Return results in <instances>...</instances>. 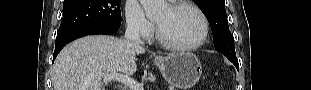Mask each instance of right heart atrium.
Returning <instances> with one entry per match:
<instances>
[{
	"mask_svg": "<svg viewBox=\"0 0 311 90\" xmlns=\"http://www.w3.org/2000/svg\"><path fill=\"white\" fill-rule=\"evenodd\" d=\"M125 17L127 29L130 32L144 39L149 38L153 34L154 25L146 17L138 1L131 0L127 2Z\"/></svg>",
	"mask_w": 311,
	"mask_h": 90,
	"instance_id": "1",
	"label": "right heart atrium"
}]
</instances>
